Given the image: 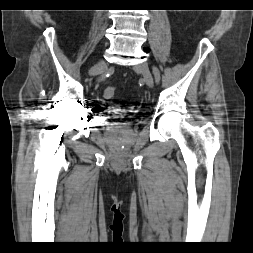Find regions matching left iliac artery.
I'll return each mask as SVG.
<instances>
[{"label": "left iliac artery", "instance_id": "left-iliac-artery-1", "mask_svg": "<svg viewBox=\"0 0 253 253\" xmlns=\"http://www.w3.org/2000/svg\"><path fill=\"white\" fill-rule=\"evenodd\" d=\"M153 73H154V76H155L156 83H159V81H160V72L156 67H153Z\"/></svg>", "mask_w": 253, "mask_h": 253}]
</instances>
